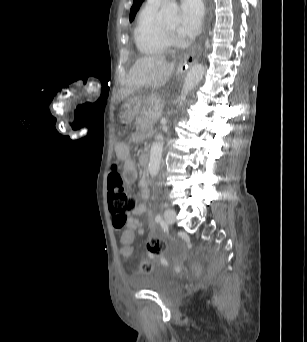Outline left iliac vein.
<instances>
[{"label":"left iliac vein","mask_w":307,"mask_h":342,"mask_svg":"<svg viewBox=\"0 0 307 342\" xmlns=\"http://www.w3.org/2000/svg\"><path fill=\"white\" fill-rule=\"evenodd\" d=\"M164 219L167 224L172 225L175 222L176 215L175 212L171 209H167L164 212Z\"/></svg>","instance_id":"left-iliac-vein-1"}]
</instances>
